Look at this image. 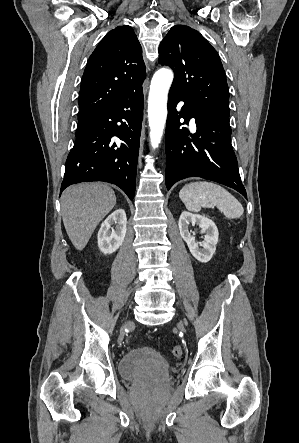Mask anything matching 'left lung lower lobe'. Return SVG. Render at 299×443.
I'll use <instances>...</instances> for the list:
<instances>
[{"mask_svg": "<svg viewBox=\"0 0 299 443\" xmlns=\"http://www.w3.org/2000/svg\"><path fill=\"white\" fill-rule=\"evenodd\" d=\"M180 101L184 105L178 112L176 106ZM190 118H195L197 130L194 134L184 127L179 128L188 124ZM192 176L224 184L247 197L231 145L229 123L197 108L170 90L166 126L167 189L175 182Z\"/></svg>", "mask_w": 299, "mask_h": 443, "instance_id": "0a47b994", "label": "left lung lower lobe"}]
</instances>
